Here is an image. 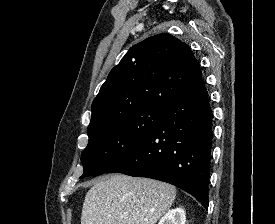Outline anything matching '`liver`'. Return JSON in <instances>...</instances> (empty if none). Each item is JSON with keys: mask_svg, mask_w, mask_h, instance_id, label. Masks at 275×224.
Here are the masks:
<instances>
[{"mask_svg": "<svg viewBox=\"0 0 275 224\" xmlns=\"http://www.w3.org/2000/svg\"><path fill=\"white\" fill-rule=\"evenodd\" d=\"M175 197L168 183L115 174L87 192L81 224H156Z\"/></svg>", "mask_w": 275, "mask_h": 224, "instance_id": "obj_1", "label": "liver"}]
</instances>
